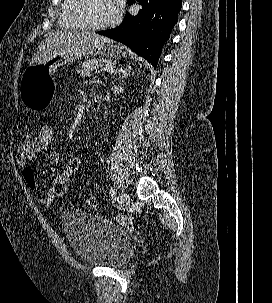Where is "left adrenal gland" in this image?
<instances>
[{
	"mask_svg": "<svg viewBox=\"0 0 272 303\" xmlns=\"http://www.w3.org/2000/svg\"><path fill=\"white\" fill-rule=\"evenodd\" d=\"M133 74H134V72L132 71V69L130 67H128L122 71V75H120L118 79L120 80L124 77H127L128 75H133Z\"/></svg>",
	"mask_w": 272,
	"mask_h": 303,
	"instance_id": "obj_1",
	"label": "left adrenal gland"
}]
</instances>
